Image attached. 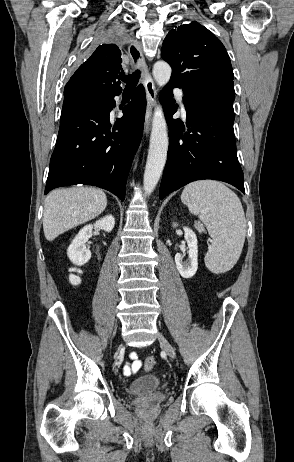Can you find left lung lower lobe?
<instances>
[{"label": "left lung lower lobe", "mask_w": 294, "mask_h": 462, "mask_svg": "<svg viewBox=\"0 0 294 462\" xmlns=\"http://www.w3.org/2000/svg\"><path fill=\"white\" fill-rule=\"evenodd\" d=\"M174 87L169 82L161 97L170 140L159 198L200 179L224 181L245 193L233 129L234 94L217 89L184 93L185 132L184 124L172 119Z\"/></svg>", "instance_id": "0a47b994"}]
</instances>
